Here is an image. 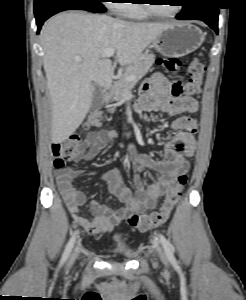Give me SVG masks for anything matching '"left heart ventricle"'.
Here are the masks:
<instances>
[{"label":"left heart ventricle","mask_w":246,"mask_h":300,"mask_svg":"<svg viewBox=\"0 0 246 300\" xmlns=\"http://www.w3.org/2000/svg\"><path fill=\"white\" fill-rule=\"evenodd\" d=\"M157 2H159L160 4H157L155 5L156 9L161 12V13H164V14H170L172 13L176 8H177V5H175V1H169V0H158ZM164 3H168L170 5H162Z\"/></svg>","instance_id":"1"}]
</instances>
